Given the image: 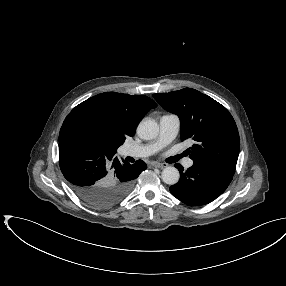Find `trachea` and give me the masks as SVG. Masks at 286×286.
<instances>
[{
	"label": "trachea",
	"instance_id": "3493384b",
	"mask_svg": "<svg viewBox=\"0 0 286 286\" xmlns=\"http://www.w3.org/2000/svg\"><path fill=\"white\" fill-rule=\"evenodd\" d=\"M185 155H186L185 153H182V154H180V155H177V156H176V159L179 160L180 158H182V157L185 156Z\"/></svg>",
	"mask_w": 286,
	"mask_h": 286
}]
</instances>
